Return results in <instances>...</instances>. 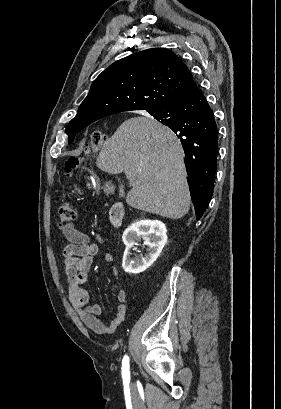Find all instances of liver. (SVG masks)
<instances>
[{"instance_id":"6515ba94","label":"liver","mask_w":281,"mask_h":409,"mask_svg":"<svg viewBox=\"0 0 281 409\" xmlns=\"http://www.w3.org/2000/svg\"><path fill=\"white\" fill-rule=\"evenodd\" d=\"M98 168L125 172L131 186L126 202L133 209L181 219L190 207L182 146L174 132L150 116L120 124L97 156Z\"/></svg>"}]
</instances>
